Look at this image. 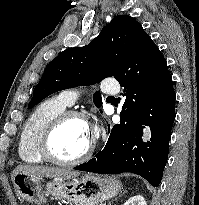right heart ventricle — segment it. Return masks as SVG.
Instances as JSON below:
<instances>
[{
  "mask_svg": "<svg viewBox=\"0 0 199 205\" xmlns=\"http://www.w3.org/2000/svg\"><path fill=\"white\" fill-rule=\"evenodd\" d=\"M67 105L60 97L49 98L40 103L24 124L18 145L20 158L28 164H42L45 162L38 151L39 136L46 124L60 112L66 110Z\"/></svg>",
  "mask_w": 199,
  "mask_h": 205,
  "instance_id": "1",
  "label": "right heart ventricle"
}]
</instances>
